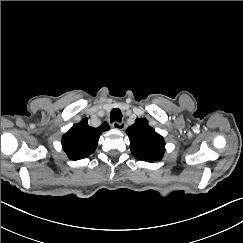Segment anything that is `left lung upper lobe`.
Returning <instances> with one entry per match:
<instances>
[{
	"instance_id": "left-lung-upper-lobe-1",
	"label": "left lung upper lobe",
	"mask_w": 243,
	"mask_h": 243,
	"mask_svg": "<svg viewBox=\"0 0 243 243\" xmlns=\"http://www.w3.org/2000/svg\"><path fill=\"white\" fill-rule=\"evenodd\" d=\"M132 154L146 162H156L163 157L165 142L161 135L148 125L146 119H137L126 130Z\"/></svg>"
}]
</instances>
